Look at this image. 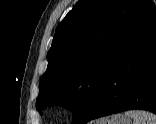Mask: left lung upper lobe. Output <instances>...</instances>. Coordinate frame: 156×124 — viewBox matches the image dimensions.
<instances>
[{"label": "left lung upper lobe", "mask_w": 156, "mask_h": 124, "mask_svg": "<svg viewBox=\"0 0 156 124\" xmlns=\"http://www.w3.org/2000/svg\"><path fill=\"white\" fill-rule=\"evenodd\" d=\"M155 15L151 0H79L56 28L37 110L60 104L79 124L116 61Z\"/></svg>", "instance_id": "left-lung-upper-lobe-1"}]
</instances>
